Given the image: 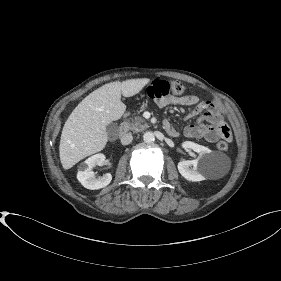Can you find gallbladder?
Instances as JSON below:
<instances>
[{
	"label": "gallbladder",
	"instance_id": "bac80fb5",
	"mask_svg": "<svg viewBox=\"0 0 281 281\" xmlns=\"http://www.w3.org/2000/svg\"><path fill=\"white\" fill-rule=\"evenodd\" d=\"M106 130H107L108 135L113 136L117 133L118 126L114 123H111L106 127Z\"/></svg>",
	"mask_w": 281,
	"mask_h": 281
}]
</instances>
